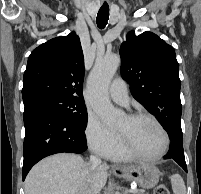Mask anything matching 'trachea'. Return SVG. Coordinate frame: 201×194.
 <instances>
[{"label": "trachea", "instance_id": "trachea-1", "mask_svg": "<svg viewBox=\"0 0 201 194\" xmlns=\"http://www.w3.org/2000/svg\"><path fill=\"white\" fill-rule=\"evenodd\" d=\"M109 19V6L104 3L98 11L96 23L100 29H104Z\"/></svg>", "mask_w": 201, "mask_h": 194}]
</instances>
